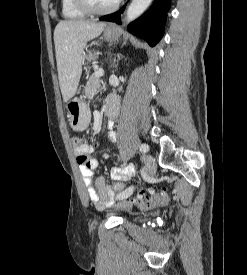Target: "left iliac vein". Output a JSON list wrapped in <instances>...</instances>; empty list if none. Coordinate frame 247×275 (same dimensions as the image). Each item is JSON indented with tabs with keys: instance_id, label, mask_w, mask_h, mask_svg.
<instances>
[{
	"instance_id": "1",
	"label": "left iliac vein",
	"mask_w": 247,
	"mask_h": 275,
	"mask_svg": "<svg viewBox=\"0 0 247 275\" xmlns=\"http://www.w3.org/2000/svg\"><path fill=\"white\" fill-rule=\"evenodd\" d=\"M143 162L145 164V167H146V170L148 171V173L152 174L155 172L156 170V161H155V158L152 157V156H149V155H145L143 156ZM126 192V195H125V198L129 197L132 192H133V189L132 190H126L124 191Z\"/></svg>"
}]
</instances>
